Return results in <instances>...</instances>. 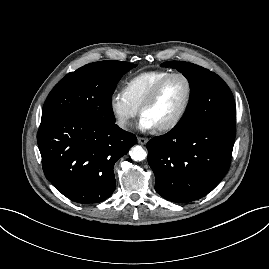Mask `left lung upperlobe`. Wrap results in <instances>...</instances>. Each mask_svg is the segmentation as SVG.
I'll return each instance as SVG.
<instances>
[{"label":"left lung upper lobe","instance_id":"5c2ea615","mask_svg":"<svg viewBox=\"0 0 269 269\" xmlns=\"http://www.w3.org/2000/svg\"><path fill=\"white\" fill-rule=\"evenodd\" d=\"M161 66L177 69L188 79L191 86L187 111L173 130L186 131L213 119L236 118L232 92L218 75L188 62L169 61Z\"/></svg>","mask_w":269,"mask_h":269}]
</instances>
